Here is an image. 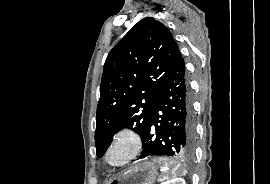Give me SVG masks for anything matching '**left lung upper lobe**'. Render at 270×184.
I'll return each mask as SVG.
<instances>
[{
	"mask_svg": "<svg viewBox=\"0 0 270 184\" xmlns=\"http://www.w3.org/2000/svg\"><path fill=\"white\" fill-rule=\"evenodd\" d=\"M181 57L172 34L152 17L140 20L105 61L97 106L95 144L101 157L115 133L145 134L157 95Z\"/></svg>",
	"mask_w": 270,
	"mask_h": 184,
	"instance_id": "5c2ea615",
	"label": "left lung upper lobe"
}]
</instances>
